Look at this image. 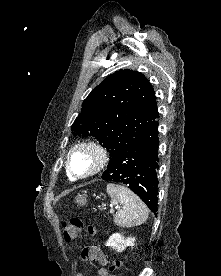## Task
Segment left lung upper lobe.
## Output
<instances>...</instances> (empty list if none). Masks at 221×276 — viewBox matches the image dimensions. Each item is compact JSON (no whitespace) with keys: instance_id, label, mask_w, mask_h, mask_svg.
I'll return each mask as SVG.
<instances>
[{"instance_id":"1","label":"left lung upper lobe","mask_w":221,"mask_h":276,"mask_svg":"<svg viewBox=\"0 0 221 276\" xmlns=\"http://www.w3.org/2000/svg\"><path fill=\"white\" fill-rule=\"evenodd\" d=\"M157 117L149 81L140 72L125 69L109 75L90 92L71 128L74 136L98 140L111 157Z\"/></svg>"}]
</instances>
